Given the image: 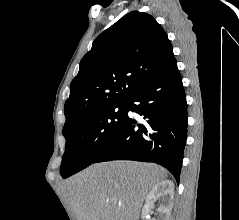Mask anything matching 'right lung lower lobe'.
<instances>
[{"label":"right lung lower lobe","mask_w":239,"mask_h":220,"mask_svg":"<svg viewBox=\"0 0 239 220\" xmlns=\"http://www.w3.org/2000/svg\"><path fill=\"white\" fill-rule=\"evenodd\" d=\"M125 122L94 163L137 160L164 166L179 182L187 135V104L176 60L126 101ZM133 111L142 121L128 115Z\"/></svg>","instance_id":"obj_1"}]
</instances>
